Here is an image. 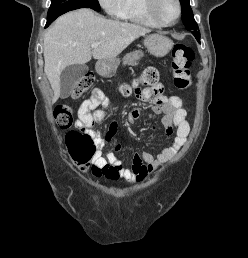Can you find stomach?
I'll return each instance as SVG.
<instances>
[{
    "label": "stomach",
    "mask_w": 248,
    "mask_h": 258,
    "mask_svg": "<svg viewBox=\"0 0 248 258\" xmlns=\"http://www.w3.org/2000/svg\"><path fill=\"white\" fill-rule=\"evenodd\" d=\"M144 45L150 54L163 57L170 52L174 44L166 36L152 34L145 38ZM119 64L120 60L118 58L100 60L96 63V70L100 75L108 77L115 73Z\"/></svg>",
    "instance_id": "stomach-1"
}]
</instances>
